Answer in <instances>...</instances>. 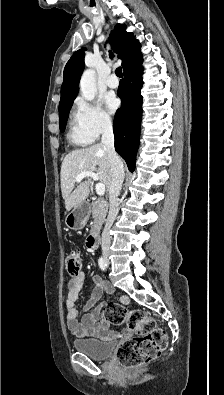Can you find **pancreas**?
Returning a JSON list of instances; mask_svg holds the SVG:
<instances>
[{"label":"pancreas","mask_w":224,"mask_h":395,"mask_svg":"<svg viewBox=\"0 0 224 395\" xmlns=\"http://www.w3.org/2000/svg\"><path fill=\"white\" fill-rule=\"evenodd\" d=\"M90 207L92 218L94 220V226L92 227V230H95L96 226H101L104 223L108 211V204L104 199L95 200L90 204Z\"/></svg>","instance_id":"cf45deb5"}]
</instances>
